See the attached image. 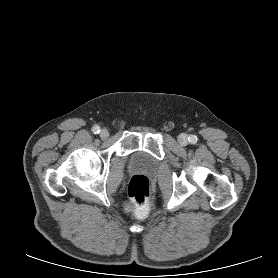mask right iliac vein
Wrapping results in <instances>:
<instances>
[{"label": "right iliac vein", "instance_id": "1", "mask_svg": "<svg viewBox=\"0 0 278 278\" xmlns=\"http://www.w3.org/2000/svg\"><path fill=\"white\" fill-rule=\"evenodd\" d=\"M100 137L101 139H107L109 137V132L108 130L106 129H102L101 132H100Z\"/></svg>", "mask_w": 278, "mask_h": 278}]
</instances>
